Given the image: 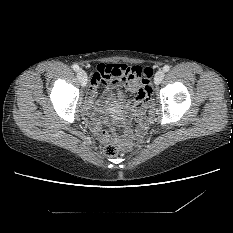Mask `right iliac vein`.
Masks as SVG:
<instances>
[{
	"label": "right iliac vein",
	"mask_w": 233,
	"mask_h": 233,
	"mask_svg": "<svg viewBox=\"0 0 233 233\" xmlns=\"http://www.w3.org/2000/svg\"><path fill=\"white\" fill-rule=\"evenodd\" d=\"M77 77L79 82L81 83L82 86H86L87 84V74L84 70H79L77 72Z\"/></svg>",
	"instance_id": "1"
}]
</instances>
